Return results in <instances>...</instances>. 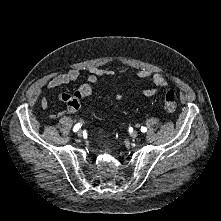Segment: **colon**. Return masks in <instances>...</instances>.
<instances>
[{"instance_id": "1", "label": "colon", "mask_w": 221, "mask_h": 221, "mask_svg": "<svg viewBox=\"0 0 221 221\" xmlns=\"http://www.w3.org/2000/svg\"><path fill=\"white\" fill-rule=\"evenodd\" d=\"M93 89L90 85L82 86L77 92L76 96L72 100V105L76 109L80 105V101L89 96L92 93ZM164 107L167 112L173 113L176 110L177 102L176 95L173 91H169L164 96Z\"/></svg>"}]
</instances>
